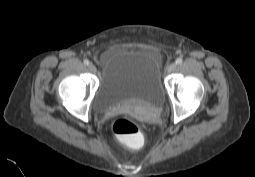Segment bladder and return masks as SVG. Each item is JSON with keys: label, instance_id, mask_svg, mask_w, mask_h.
<instances>
[{"label": "bladder", "instance_id": "1", "mask_svg": "<svg viewBox=\"0 0 255 177\" xmlns=\"http://www.w3.org/2000/svg\"><path fill=\"white\" fill-rule=\"evenodd\" d=\"M164 98L165 89L154 53L124 50L103 67L94 107L97 113H105L128 103L159 106Z\"/></svg>", "mask_w": 255, "mask_h": 177}]
</instances>
